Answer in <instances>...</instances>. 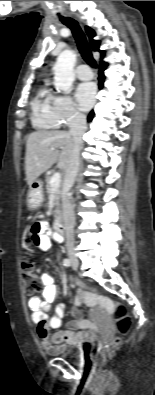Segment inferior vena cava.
Listing matches in <instances>:
<instances>
[{"mask_svg":"<svg viewBox=\"0 0 155 395\" xmlns=\"http://www.w3.org/2000/svg\"><path fill=\"white\" fill-rule=\"evenodd\" d=\"M69 134L72 136L74 146L70 156L69 164L65 170L64 178V196H63V219L64 230L66 234V247L69 255L74 253L73 229L75 225L74 205L71 203V193L69 192L74 185L80 166V150L82 148V136L85 133L86 116L81 113H75L69 123Z\"/></svg>","mask_w":155,"mask_h":395,"instance_id":"602c4592","label":"inferior vena cava"}]
</instances>
